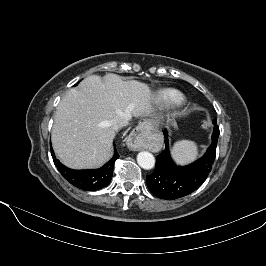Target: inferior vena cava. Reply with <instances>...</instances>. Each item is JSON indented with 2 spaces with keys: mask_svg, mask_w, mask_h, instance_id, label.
Here are the masks:
<instances>
[{
  "mask_svg": "<svg viewBox=\"0 0 266 266\" xmlns=\"http://www.w3.org/2000/svg\"><path fill=\"white\" fill-rule=\"evenodd\" d=\"M129 118L125 115L117 116L112 119V127L114 130H118L121 127L127 126L129 123Z\"/></svg>",
  "mask_w": 266,
  "mask_h": 266,
  "instance_id": "obj_1",
  "label": "inferior vena cava"
}]
</instances>
